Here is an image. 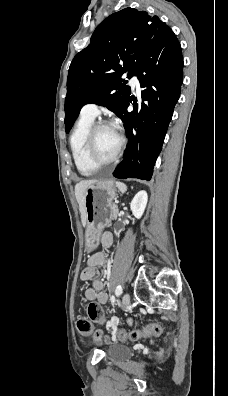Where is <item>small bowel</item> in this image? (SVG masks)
I'll use <instances>...</instances> for the list:
<instances>
[{"instance_id":"1","label":"small bowel","mask_w":228,"mask_h":396,"mask_svg":"<svg viewBox=\"0 0 228 396\" xmlns=\"http://www.w3.org/2000/svg\"><path fill=\"white\" fill-rule=\"evenodd\" d=\"M101 243L105 248H109L113 243V235L106 232L102 235ZM107 256L104 252H98L89 256L86 267L81 273V279L89 283L85 291V297L88 300L95 301L100 305L106 304L108 295L103 291V282L96 277V268L106 264ZM102 331L96 332V337H102Z\"/></svg>"}]
</instances>
